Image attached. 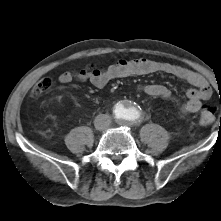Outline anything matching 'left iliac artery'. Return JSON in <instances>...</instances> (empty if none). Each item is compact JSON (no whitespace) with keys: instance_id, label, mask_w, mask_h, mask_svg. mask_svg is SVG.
Masks as SVG:
<instances>
[{"instance_id":"1","label":"left iliac artery","mask_w":221,"mask_h":221,"mask_svg":"<svg viewBox=\"0 0 221 221\" xmlns=\"http://www.w3.org/2000/svg\"><path fill=\"white\" fill-rule=\"evenodd\" d=\"M139 117H140V113L138 111L134 110L129 114L128 119L131 121H136L139 119Z\"/></svg>"}]
</instances>
